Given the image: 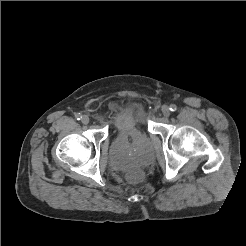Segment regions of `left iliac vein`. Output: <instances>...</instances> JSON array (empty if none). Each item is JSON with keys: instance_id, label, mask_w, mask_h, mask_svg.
<instances>
[{"instance_id": "left-iliac-vein-1", "label": "left iliac vein", "mask_w": 246, "mask_h": 246, "mask_svg": "<svg viewBox=\"0 0 246 246\" xmlns=\"http://www.w3.org/2000/svg\"><path fill=\"white\" fill-rule=\"evenodd\" d=\"M162 113H163L164 117H169V115H170V109H169V107L163 106L162 107Z\"/></svg>"}]
</instances>
